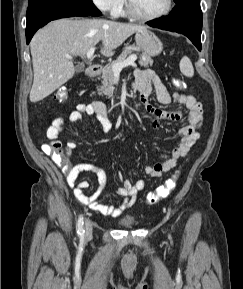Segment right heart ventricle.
<instances>
[{
    "mask_svg": "<svg viewBox=\"0 0 243 289\" xmlns=\"http://www.w3.org/2000/svg\"><path fill=\"white\" fill-rule=\"evenodd\" d=\"M116 15L126 16V11L123 9V5L121 6V8L119 9V11Z\"/></svg>",
    "mask_w": 243,
    "mask_h": 289,
    "instance_id": "right-heart-ventricle-1",
    "label": "right heart ventricle"
}]
</instances>
